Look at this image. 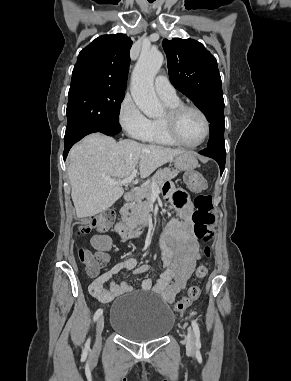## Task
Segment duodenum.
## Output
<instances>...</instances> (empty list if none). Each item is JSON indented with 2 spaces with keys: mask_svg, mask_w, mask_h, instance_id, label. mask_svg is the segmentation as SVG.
<instances>
[{
  "mask_svg": "<svg viewBox=\"0 0 291 381\" xmlns=\"http://www.w3.org/2000/svg\"><path fill=\"white\" fill-rule=\"evenodd\" d=\"M136 195L135 190H128L124 194V199L126 202H132L134 200V197ZM115 231L124 239V240H130L134 237H137L138 235L142 234L143 226L131 228L127 225H125L123 222L118 221L115 224Z\"/></svg>",
  "mask_w": 291,
  "mask_h": 381,
  "instance_id": "obj_1",
  "label": "duodenum"
}]
</instances>
